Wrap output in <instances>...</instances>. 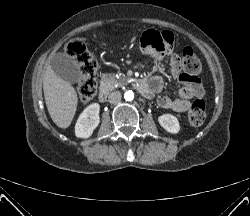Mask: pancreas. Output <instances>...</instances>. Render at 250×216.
<instances>
[{
	"label": "pancreas",
	"instance_id": "1",
	"mask_svg": "<svg viewBox=\"0 0 250 216\" xmlns=\"http://www.w3.org/2000/svg\"><path fill=\"white\" fill-rule=\"evenodd\" d=\"M129 78L126 76L116 77L114 74L104 75L101 80V84L108 90H113L116 87L126 85L129 82Z\"/></svg>",
	"mask_w": 250,
	"mask_h": 216
}]
</instances>
